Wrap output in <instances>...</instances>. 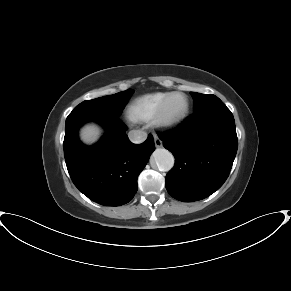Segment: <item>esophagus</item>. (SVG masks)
I'll return each mask as SVG.
<instances>
[{
	"label": "esophagus",
	"instance_id": "obj_1",
	"mask_svg": "<svg viewBox=\"0 0 291 291\" xmlns=\"http://www.w3.org/2000/svg\"><path fill=\"white\" fill-rule=\"evenodd\" d=\"M154 142L156 147H162V141L156 135H154Z\"/></svg>",
	"mask_w": 291,
	"mask_h": 291
}]
</instances>
